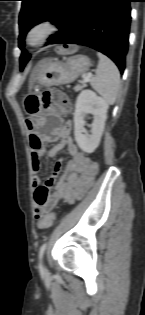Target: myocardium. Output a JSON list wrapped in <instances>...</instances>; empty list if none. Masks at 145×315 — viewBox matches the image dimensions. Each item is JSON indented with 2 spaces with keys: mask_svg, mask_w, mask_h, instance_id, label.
I'll list each match as a JSON object with an SVG mask.
<instances>
[{
  "mask_svg": "<svg viewBox=\"0 0 145 315\" xmlns=\"http://www.w3.org/2000/svg\"><path fill=\"white\" fill-rule=\"evenodd\" d=\"M57 31L56 25L49 20L35 22L27 31L26 44L38 47L48 41Z\"/></svg>",
  "mask_w": 145,
  "mask_h": 315,
  "instance_id": "1",
  "label": "myocardium"
}]
</instances>
